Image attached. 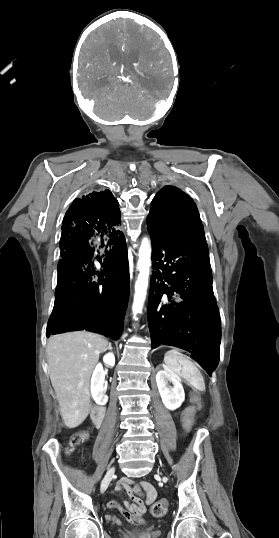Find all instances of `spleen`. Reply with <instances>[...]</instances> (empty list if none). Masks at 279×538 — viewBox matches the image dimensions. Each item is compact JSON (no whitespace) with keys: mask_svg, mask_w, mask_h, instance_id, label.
I'll return each mask as SVG.
<instances>
[{"mask_svg":"<svg viewBox=\"0 0 279 538\" xmlns=\"http://www.w3.org/2000/svg\"><path fill=\"white\" fill-rule=\"evenodd\" d=\"M164 364L166 368L178 374V376H183V378H194V380H189L190 386L196 388L195 392L197 394H203L205 392V385L203 383L202 376L200 375L199 370L191 362L190 358L180 354L178 348L174 350H169L164 356Z\"/></svg>","mask_w":279,"mask_h":538,"instance_id":"1","label":"spleen"}]
</instances>
